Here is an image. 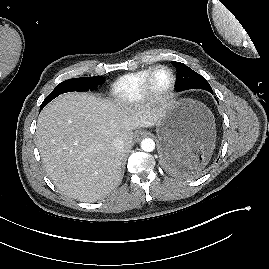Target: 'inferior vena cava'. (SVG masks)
<instances>
[{
    "label": "inferior vena cava",
    "instance_id": "obj_1",
    "mask_svg": "<svg viewBox=\"0 0 269 269\" xmlns=\"http://www.w3.org/2000/svg\"><path fill=\"white\" fill-rule=\"evenodd\" d=\"M112 146L116 149H123L124 148V141L120 137H116L113 142Z\"/></svg>",
    "mask_w": 269,
    "mask_h": 269
}]
</instances>
